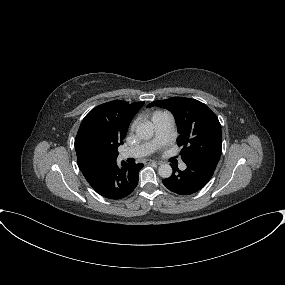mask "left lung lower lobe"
Returning a JSON list of instances; mask_svg holds the SVG:
<instances>
[{
	"mask_svg": "<svg viewBox=\"0 0 285 285\" xmlns=\"http://www.w3.org/2000/svg\"><path fill=\"white\" fill-rule=\"evenodd\" d=\"M218 161L219 158L215 157H200L189 160L185 162L187 168L184 171L173 168L174 173L162 182L166 188L179 195L196 193L209 182Z\"/></svg>",
	"mask_w": 285,
	"mask_h": 285,
	"instance_id": "left-lung-lower-lobe-1",
	"label": "left lung lower lobe"
}]
</instances>
